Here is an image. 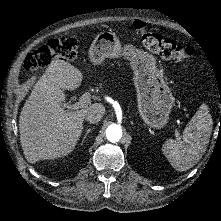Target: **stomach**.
<instances>
[{
    "instance_id": "obj_1",
    "label": "stomach",
    "mask_w": 221,
    "mask_h": 221,
    "mask_svg": "<svg viewBox=\"0 0 221 221\" xmlns=\"http://www.w3.org/2000/svg\"><path fill=\"white\" fill-rule=\"evenodd\" d=\"M122 53L129 55L132 60L138 106L143 119L152 127L164 125L173 104V97L161 73L156 70L151 56L130 47L123 51L114 33L102 32L92 41L88 58L94 66H98L105 57L114 58Z\"/></svg>"
}]
</instances>
